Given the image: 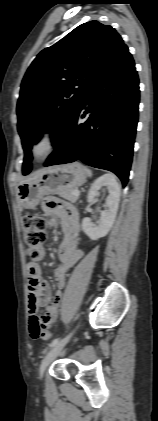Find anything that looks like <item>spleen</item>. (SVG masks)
Returning a JSON list of instances; mask_svg holds the SVG:
<instances>
[{
  "mask_svg": "<svg viewBox=\"0 0 158 421\" xmlns=\"http://www.w3.org/2000/svg\"><path fill=\"white\" fill-rule=\"evenodd\" d=\"M84 170L86 171V173H87V175H88L89 177H91V176H92V172H91V170H90V169H88L87 167H84Z\"/></svg>",
  "mask_w": 158,
  "mask_h": 421,
  "instance_id": "1",
  "label": "spleen"
}]
</instances>
